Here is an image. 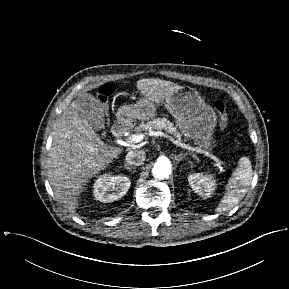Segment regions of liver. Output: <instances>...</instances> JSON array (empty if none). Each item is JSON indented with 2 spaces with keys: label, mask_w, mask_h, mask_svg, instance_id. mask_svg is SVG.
Here are the masks:
<instances>
[{
  "label": "liver",
  "mask_w": 289,
  "mask_h": 289,
  "mask_svg": "<svg viewBox=\"0 0 289 289\" xmlns=\"http://www.w3.org/2000/svg\"><path fill=\"white\" fill-rule=\"evenodd\" d=\"M182 86L161 79H141L137 89L144 98L159 105ZM123 149L105 144L80 114L77 100L63 112L53 132L48 177L55 196L74 208V196L89 179L104 170Z\"/></svg>",
  "instance_id": "liver-1"
}]
</instances>
